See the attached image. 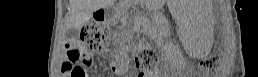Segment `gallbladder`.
<instances>
[{"mask_svg":"<svg viewBox=\"0 0 258 77\" xmlns=\"http://www.w3.org/2000/svg\"><path fill=\"white\" fill-rule=\"evenodd\" d=\"M79 34V29L78 28H71L68 30L67 36L69 38H77Z\"/></svg>","mask_w":258,"mask_h":77,"instance_id":"bac80fb5","label":"gallbladder"}]
</instances>
